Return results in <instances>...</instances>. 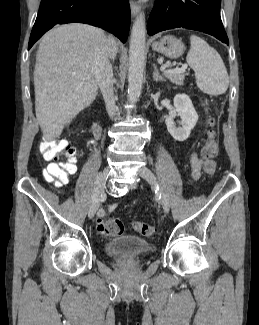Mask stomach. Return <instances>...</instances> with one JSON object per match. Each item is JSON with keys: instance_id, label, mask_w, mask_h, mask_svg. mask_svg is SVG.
Segmentation results:
<instances>
[{"instance_id": "stomach-1", "label": "stomach", "mask_w": 259, "mask_h": 325, "mask_svg": "<svg viewBox=\"0 0 259 325\" xmlns=\"http://www.w3.org/2000/svg\"><path fill=\"white\" fill-rule=\"evenodd\" d=\"M152 49L170 59H177L183 55L185 46L180 39L172 35H165L159 41L152 43Z\"/></svg>"}]
</instances>
